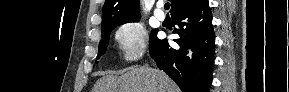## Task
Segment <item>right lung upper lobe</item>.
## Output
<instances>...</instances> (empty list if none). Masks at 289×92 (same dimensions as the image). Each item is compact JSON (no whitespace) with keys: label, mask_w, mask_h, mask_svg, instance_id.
I'll return each mask as SVG.
<instances>
[{"label":"right lung upper lobe","mask_w":289,"mask_h":92,"mask_svg":"<svg viewBox=\"0 0 289 92\" xmlns=\"http://www.w3.org/2000/svg\"><path fill=\"white\" fill-rule=\"evenodd\" d=\"M201 0H171V15L196 5ZM140 17L139 0H105L102 9V26L137 20Z\"/></svg>","instance_id":"obj_1"}]
</instances>
